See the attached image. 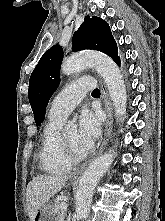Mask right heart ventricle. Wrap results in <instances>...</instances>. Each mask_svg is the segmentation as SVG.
Masks as SVG:
<instances>
[{"instance_id": "obj_1", "label": "right heart ventricle", "mask_w": 165, "mask_h": 221, "mask_svg": "<svg viewBox=\"0 0 165 221\" xmlns=\"http://www.w3.org/2000/svg\"><path fill=\"white\" fill-rule=\"evenodd\" d=\"M61 119L49 118L42 135L39 149L40 169L48 174H62L74 165L64 154L61 146Z\"/></svg>"}]
</instances>
